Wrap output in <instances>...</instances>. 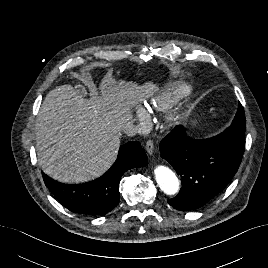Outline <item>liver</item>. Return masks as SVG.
<instances>
[{
	"mask_svg": "<svg viewBox=\"0 0 268 268\" xmlns=\"http://www.w3.org/2000/svg\"><path fill=\"white\" fill-rule=\"evenodd\" d=\"M80 88L51 90L36 119L38 163L46 175L64 183L94 179L111 167L122 128L132 124V108L154 92L152 83H117L111 75L102 80L101 95L87 99Z\"/></svg>",
	"mask_w": 268,
	"mask_h": 268,
	"instance_id": "1",
	"label": "liver"
}]
</instances>
